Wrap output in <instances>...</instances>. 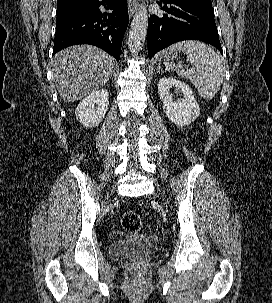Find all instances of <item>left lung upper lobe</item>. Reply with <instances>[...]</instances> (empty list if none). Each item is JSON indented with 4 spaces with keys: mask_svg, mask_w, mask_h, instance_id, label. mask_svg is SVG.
Returning <instances> with one entry per match:
<instances>
[{
    "mask_svg": "<svg viewBox=\"0 0 272 303\" xmlns=\"http://www.w3.org/2000/svg\"><path fill=\"white\" fill-rule=\"evenodd\" d=\"M164 3H194L211 5V0H161Z\"/></svg>",
    "mask_w": 272,
    "mask_h": 303,
    "instance_id": "5c2ea615",
    "label": "left lung upper lobe"
}]
</instances>
